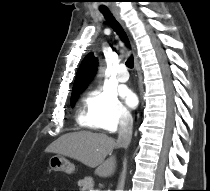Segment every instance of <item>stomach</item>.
<instances>
[{"mask_svg":"<svg viewBox=\"0 0 210 191\" xmlns=\"http://www.w3.org/2000/svg\"><path fill=\"white\" fill-rule=\"evenodd\" d=\"M49 166L55 172L61 171L67 174H71L75 170L74 164L62 155L52 156L49 160Z\"/></svg>","mask_w":210,"mask_h":191,"instance_id":"1","label":"stomach"}]
</instances>
